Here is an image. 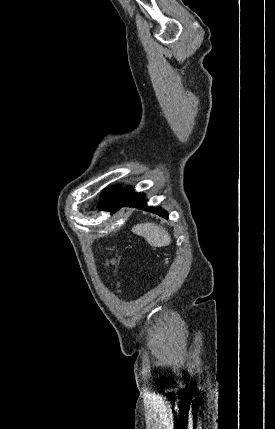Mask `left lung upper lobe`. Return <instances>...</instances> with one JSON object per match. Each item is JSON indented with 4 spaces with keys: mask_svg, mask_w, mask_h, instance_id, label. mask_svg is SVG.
I'll return each instance as SVG.
<instances>
[{
    "mask_svg": "<svg viewBox=\"0 0 275 429\" xmlns=\"http://www.w3.org/2000/svg\"><path fill=\"white\" fill-rule=\"evenodd\" d=\"M131 188L132 186L122 187L117 185L104 189L101 194L99 209L101 211H111L112 213L116 212Z\"/></svg>",
    "mask_w": 275,
    "mask_h": 429,
    "instance_id": "obj_1",
    "label": "left lung upper lobe"
}]
</instances>
